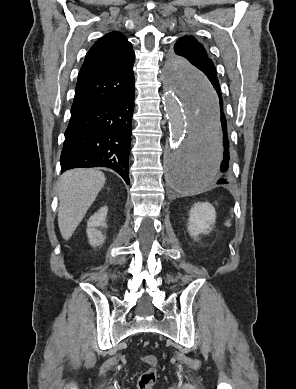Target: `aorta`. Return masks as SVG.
I'll use <instances>...</instances> for the list:
<instances>
[{"label":"aorta","instance_id":"obj_1","mask_svg":"<svg viewBox=\"0 0 296 389\" xmlns=\"http://www.w3.org/2000/svg\"><path fill=\"white\" fill-rule=\"evenodd\" d=\"M165 65L163 104L169 123L168 189H208L221 161L217 130L218 91L194 67Z\"/></svg>","mask_w":296,"mask_h":389}]
</instances>
